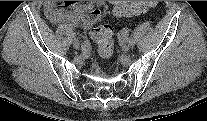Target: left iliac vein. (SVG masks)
<instances>
[{
  "mask_svg": "<svg viewBox=\"0 0 207 121\" xmlns=\"http://www.w3.org/2000/svg\"><path fill=\"white\" fill-rule=\"evenodd\" d=\"M134 45H135V42L133 40V42H128L127 47L132 48V47H134Z\"/></svg>",
  "mask_w": 207,
  "mask_h": 121,
  "instance_id": "1",
  "label": "left iliac vein"
}]
</instances>
